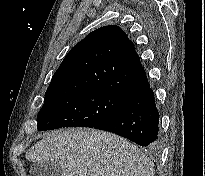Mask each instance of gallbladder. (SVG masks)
I'll return each mask as SVG.
<instances>
[{
	"mask_svg": "<svg viewBox=\"0 0 205 176\" xmlns=\"http://www.w3.org/2000/svg\"><path fill=\"white\" fill-rule=\"evenodd\" d=\"M31 176H63L61 168L53 162L40 161L30 167Z\"/></svg>",
	"mask_w": 205,
	"mask_h": 176,
	"instance_id": "obj_1",
	"label": "gallbladder"
}]
</instances>
